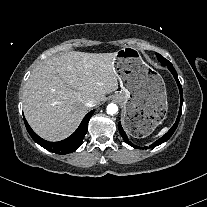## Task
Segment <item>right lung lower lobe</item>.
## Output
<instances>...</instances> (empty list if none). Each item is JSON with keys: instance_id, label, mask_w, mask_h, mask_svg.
I'll return each instance as SVG.
<instances>
[{"instance_id": "1", "label": "right lung lower lobe", "mask_w": 207, "mask_h": 207, "mask_svg": "<svg viewBox=\"0 0 207 207\" xmlns=\"http://www.w3.org/2000/svg\"><path fill=\"white\" fill-rule=\"evenodd\" d=\"M94 110L90 111L82 120L78 129L68 138L59 142H48L40 138L29 126L27 121L24 119L25 126L32 139L45 149L58 154H68L75 151L81 145L83 138L87 132V125L92 116Z\"/></svg>"}]
</instances>
